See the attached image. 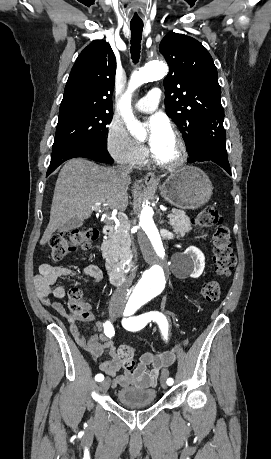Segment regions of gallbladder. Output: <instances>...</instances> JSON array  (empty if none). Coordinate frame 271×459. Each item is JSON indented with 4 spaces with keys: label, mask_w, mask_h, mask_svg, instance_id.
I'll use <instances>...</instances> for the list:
<instances>
[{
    "label": "gallbladder",
    "mask_w": 271,
    "mask_h": 459,
    "mask_svg": "<svg viewBox=\"0 0 271 459\" xmlns=\"http://www.w3.org/2000/svg\"><path fill=\"white\" fill-rule=\"evenodd\" d=\"M84 220H78V218H72V220H68L66 224H62V226H59L58 231H69V229H75V228H80V226H83Z\"/></svg>",
    "instance_id": "obj_1"
}]
</instances>
